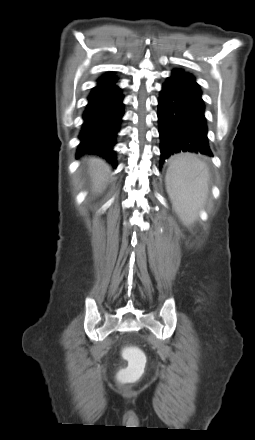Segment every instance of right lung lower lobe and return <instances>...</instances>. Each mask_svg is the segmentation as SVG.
<instances>
[{
  "label": "right lung lower lobe",
  "instance_id": "obj_1",
  "mask_svg": "<svg viewBox=\"0 0 255 440\" xmlns=\"http://www.w3.org/2000/svg\"><path fill=\"white\" fill-rule=\"evenodd\" d=\"M117 81L114 73H106L98 78L97 85L87 98L77 149V156L87 153L99 155L113 167H117L113 148L124 115V97Z\"/></svg>",
  "mask_w": 255,
  "mask_h": 440
}]
</instances>
